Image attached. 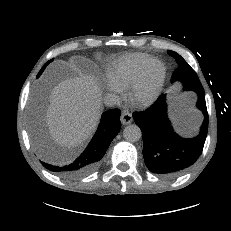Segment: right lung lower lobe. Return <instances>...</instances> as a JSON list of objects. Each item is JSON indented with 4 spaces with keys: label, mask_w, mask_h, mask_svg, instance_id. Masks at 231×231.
Segmentation results:
<instances>
[{
    "label": "right lung lower lobe",
    "mask_w": 231,
    "mask_h": 231,
    "mask_svg": "<svg viewBox=\"0 0 231 231\" xmlns=\"http://www.w3.org/2000/svg\"><path fill=\"white\" fill-rule=\"evenodd\" d=\"M120 110L112 109L102 114L101 122L85 151L73 162L63 166L42 165L48 170L68 178H77L97 169L111 141L120 131Z\"/></svg>",
    "instance_id": "right-lung-lower-lobe-1"
}]
</instances>
